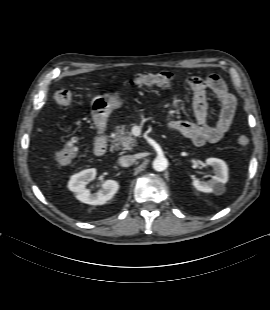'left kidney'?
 <instances>
[{
    "mask_svg": "<svg viewBox=\"0 0 270 310\" xmlns=\"http://www.w3.org/2000/svg\"><path fill=\"white\" fill-rule=\"evenodd\" d=\"M206 164L213 167L215 175L208 181L194 179L192 181L193 186L201 192L223 194L225 191L224 184L228 181L227 164L218 158H207Z\"/></svg>",
    "mask_w": 270,
    "mask_h": 310,
    "instance_id": "obj_1",
    "label": "left kidney"
}]
</instances>
